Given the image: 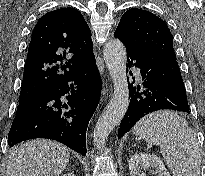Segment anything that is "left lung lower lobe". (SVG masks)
<instances>
[{"label":"left lung lower lobe","mask_w":205,"mask_h":176,"mask_svg":"<svg viewBox=\"0 0 205 176\" xmlns=\"http://www.w3.org/2000/svg\"><path fill=\"white\" fill-rule=\"evenodd\" d=\"M126 50L127 69L131 66L139 68L142 84L137 87L129 84L131 100L120 123L118 138L151 112L171 109L190 113L177 61L154 59L129 47Z\"/></svg>","instance_id":"left-lung-lower-lobe-1"}]
</instances>
